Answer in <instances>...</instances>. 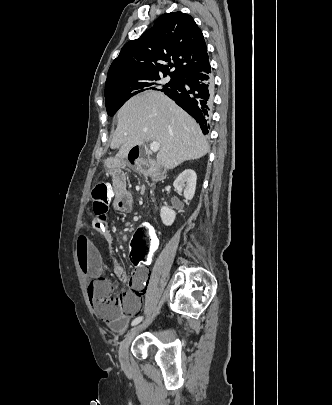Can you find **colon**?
Returning a JSON list of instances; mask_svg holds the SVG:
<instances>
[{
	"mask_svg": "<svg viewBox=\"0 0 332 405\" xmlns=\"http://www.w3.org/2000/svg\"><path fill=\"white\" fill-rule=\"evenodd\" d=\"M117 186L103 182L95 186L93 196V214L96 228L106 226V215L108 213L111 198L116 197ZM157 232L152 231L149 223H143L134 232L130 256L132 267H149L150 260L157 255ZM90 301L104 319L118 317L124 312L126 304L131 300L128 293L116 294L113 283L105 277L95 279L88 287Z\"/></svg>",
	"mask_w": 332,
	"mask_h": 405,
	"instance_id": "obj_1",
	"label": "colon"
}]
</instances>
